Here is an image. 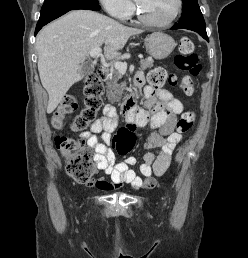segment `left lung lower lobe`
<instances>
[{
  "label": "left lung lower lobe",
  "mask_w": 248,
  "mask_h": 258,
  "mask_svg": "<svg viewBox=\"0 0 248 258\" xmlns=\"http://www.w3.org/2000/svg\"><path fill=\"white\" fill-rule=\"evenodd\" d=\"M181 28L195 31V32L199 33L205 40L209 41L207 33H206V26H205L204 19L189 22L184 25L176 24L171 29L176 30V29H181Z\"/></svg>",
  "instance_id": "left-lung-lower-lobe-1"
}]
</instances>
